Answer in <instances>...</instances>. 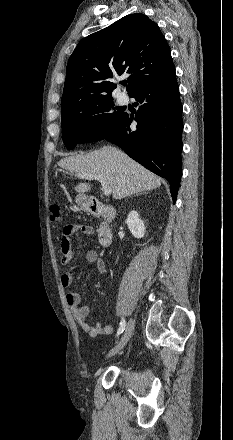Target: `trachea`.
<instances>
[{
	"label": "trachea",
	"instance_id": "3493384b",
	"mask_svg": "<svg viewBox=\"0 0 233 440\" xmlns=\"http://www.w3.org/2000/svg\"><path fill=\"white\" fill-rule=\"evenodd\" d=\"M126 84H127V82L123 83V85H126Z\"/></svg>",
	"mask_w": 233,
	"mask_h": 440
}]
</instances>
